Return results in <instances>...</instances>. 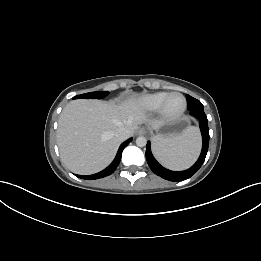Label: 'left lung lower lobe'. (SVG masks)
<instances>
[{
  "instance_id": "1",
  "label": "left lung lower lobe",
  "mask_w": 261,
  "mask_h": 261,
  "mask_svg": "<svg viewBox=\"0 0 261 261\" xmlns=\"http://www.w3.org/2000/svg\"><path fill=\"white\" fill-rule=\"evenodd\" d=\"M190 114L194 117H196L199 122H200V130L202 134V140H203V145H202V151L200 154L199 159L197 162L189 169L185 171H171L168 170L164 167H162L153 157L150 149V142L147 143L146 147V160L151 168V170L157 174L158 176L162 177L163 179L169 180V181H182L190 178L193 176L202 166L207 151H208V145H209V128H208V123H207V117L204 112V110H189Z\"/></svg>"
}]
</instances>
